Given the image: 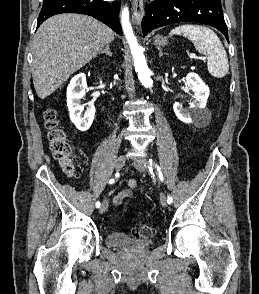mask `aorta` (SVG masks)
Returning a JSON list of instances; mask_svg holds the SVG:
<instances>
[{
    "mask_svg": "<svg viewBox=\"0 0 259 294\" xmlns=\"http://www.w3.org/2000/svg\"><path fill=\"white\" fill-rule=\"evenodd\" d=\"M121 24H122V28H123L125 37L127 39V42L131 49L135 70L138 73V78L144 87L150 88L153 84V81L151 79V71L147 66L143 49L141 46H139L137 39L133 33V29L129 21V11L127 7H125L122 10Z\"/></svg>",
    "mask_w": 259,
    "mask_h": 294,
    "instance_id": "aorta-1",
    "label": "aorta"
}]
</instances>
